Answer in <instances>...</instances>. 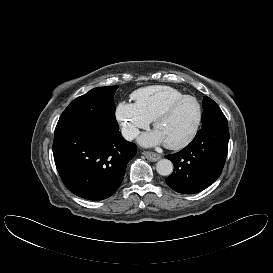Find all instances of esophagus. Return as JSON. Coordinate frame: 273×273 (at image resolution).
<instances>
[{"label":"esophagus","instance_id":"34e87169","mask_svg":"<svg viewBox=\"0 0 273 273\" xmlns=\"http://www.w3.org/2000/svg\"><path fill=\"white\" fill-rule=\"evenodd\" d=\"M142 154L152 162H156L161 159V155L151 151H143Z\"/></svg>","mask_w":273,"mask_h":273}]
</instances>
